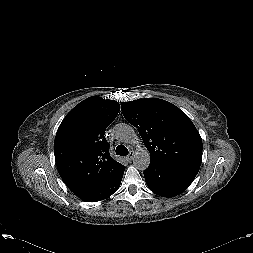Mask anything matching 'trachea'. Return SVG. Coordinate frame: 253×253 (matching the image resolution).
<instances>
[{"instance_id": "obj_1", "label": "trachea", "mask_w": 253, "mask_h": 253, "mask_svg": "<svg viewBox=\"0 0 253 253\" xmlns=\"http://www.w3.org/2000/svg\"><path fill=\"white\" fill-rule=\"evenodd\" d=\"M128 154H129V151L124 145H118L116 147V155L126 156Z\"/></svg>"}]
</instances>
